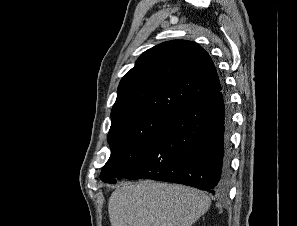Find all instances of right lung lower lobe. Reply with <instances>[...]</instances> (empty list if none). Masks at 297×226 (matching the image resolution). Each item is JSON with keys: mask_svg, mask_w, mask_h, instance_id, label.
Masks as SVG:
<instances>
[{"mask_svg": "<svg viewBox=\"0 0 297 226\" xmlns=\"http://www.w3.org/2000/svg\"><path fill=\"white\" fill-rule=\"evenodd\" d=\"M231 130L232 113L224 89L191 101L171 115L118 179L162 180L221 194L230 174Z\"/></svg>", "mask_w": 297, "mask_h": 226, "instance_id": "right-lung-lower-lobe-1", "label": "right lung lower lobe"}]
</instances>
